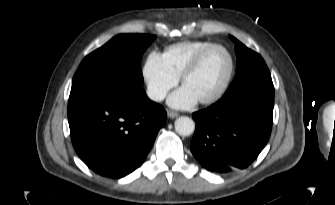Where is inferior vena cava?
Instances as JSON below:
<instances>
[{"label":"inferior vena cava","instance_id":"obj_1","mask_svg":"<svg viewBox=\"0 0 335 205\" xmlns=\"http://www.w3.org/2000/svg\"><path fill=\"white\" fill-rule=\"evenodd\" d=\"M147 95L151 100L161 101L165 98L166 92L164 90H159L156 88H148Z\"/></svg>","mask_w":335,"mask_h":205}]
</instances>
